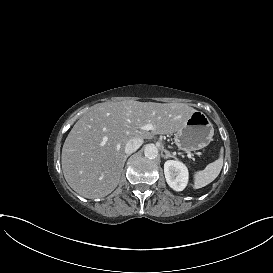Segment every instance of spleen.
<instances>
[{
  "mask_svg": "<svg viewBox=\"0 0 273 273\" xmlns=\"http://www.w3.org/2000/svg\"><path fill=\"white\" fill-rule=\"evenodd\" d=\"M223 165L222 160H218L214 163L209 164L203 172H201L196 181V187L202 188L212 181L215 180V178L219 175L221 168Z\"/></svg>",
  "mask_w": 273,
  "mask_h": 273,
  "instance_id": "spleen-1",
  "label": "spleen"
}]
</instances>
